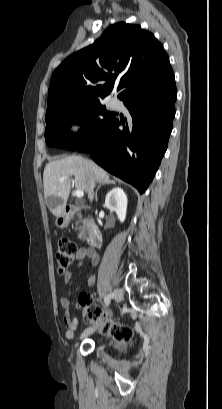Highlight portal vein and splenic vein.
I'll return each instance as SVG.
<instances>
[{
  "instance_id": "18ae733b",
  "label": "portal vein and splenic vein",
  "mask_w": 222,
  "mask_h": 409,
  "mask_svg": "<svg viewBox=\"0 0 222 409\" xmlns=\"http://www.w3.org/2000/svg\"><path fill=\"white\" fill-rule=\"evenodd\" d=\"M66 180H69V181H70L69 178H61V179H60V182H64V181H66ZM75 196H76L77 198H82V197L84 196V192H83L82 190H76Z\"/></svg>"
}]
</instances>
